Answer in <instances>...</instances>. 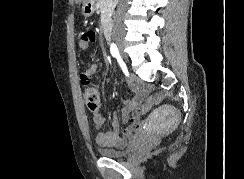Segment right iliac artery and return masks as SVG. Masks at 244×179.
<instances>
[{"instance_id":"obj_1","label":"right iliac artery","mask_w":244,"mask_h":179,"mask_svg":"<svg viewBox=\"0 0 244 179\" xmlns=\"http://www.w3.org/2000/svg\"><path fill=\"white\" fill-rule=\"evenodd\" d=\"M110 52H111L113 57L117 58V60L120 59V54H119V51H118L116 44H114V43L111 44ZM124 72L127 73V69H125Z\"/></svg>"}]
</instances>
